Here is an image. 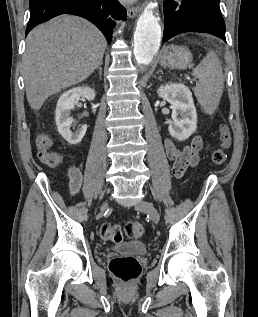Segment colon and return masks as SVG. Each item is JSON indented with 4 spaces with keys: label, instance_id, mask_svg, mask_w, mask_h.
Segmentation results:
<instances>
[{
    "label": "colon",
    "instance_id": "colon-1",
    "mask_svg": "<svg viewBox=\"0 0 258 317\" xmlns=\"http://www.w3.org/2000/svg\"><path fill=\"white\" fill-rule=\"evenodd\" d=\"M219 147L212 152V162L221 165L227 158L226 149L231 145V132L226 124L219 128ZM39 160L47 166H57L61 157L57 152L41 150L38 153ZM144 226L139 222L120 224L104 223L100 228L102 239L112 242H122L124 236L130 239H138L144 235ZM109 271L112 276L123 284L135 281L141 273V265L134 257L115 256L109 262Z\"/></svg>",
    "mask_w": 258,
    "mask_h": 317
}]
</instances>
